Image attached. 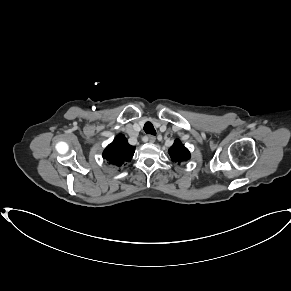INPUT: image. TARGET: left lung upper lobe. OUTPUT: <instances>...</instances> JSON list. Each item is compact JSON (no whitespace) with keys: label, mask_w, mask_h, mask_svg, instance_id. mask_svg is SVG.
<instances>
[{"label":"left lung upper lobe","mask_w":291,"mask_h":291,"mask_svg":"<svg viewBox=\"0 0 291 291\" xmlns=\"http://www.w3.org/2000/svg\"><path fill=\"white\" fill-rule=\"evenodd\" d=\"M169 155L172 161H176L180 164V162L187 161L190 159L189 150L182 145L181 141L176 139L174 144L169 149Z\"/></svg>","instance_id":"5c2ea615"}]
</instances>
